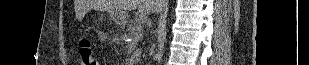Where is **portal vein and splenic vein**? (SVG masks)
Here are the masks:
<instances>
[{"instance_id":"obj_1","label":"portal vein and splenic vein","mask_w":309,"mask_h":65,"mask_svg":"<svg viewBox=\"0 0 309 65\" xmlns=\"http://www.w3.org/2000/svg\"><path fill=\"white\" fill-rule=\"evenodd\" d=\"M141 29H142V25L139 26V30H141Z\"/></svg>"}]
</instances>
